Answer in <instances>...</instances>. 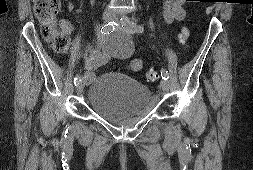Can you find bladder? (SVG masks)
Segmentation results:
<instances>
[{
  "label": "bladder",
  "instance_id": "bladder-1",
  "mask_svg": "<svg viewBox=\"0 0 253 170\" xmlns=\"http://www.w3.org/2000/svg\"><path fill=\"white\" fill-rule=\"evenodd\" d=\"M152 99L151 88L135 77L121 72H105L88 87L89 107L104 120L123 124L143 115Z\"/></svg>",
  "mask_w": 253,
  "mask_h": 170
}]
</instances>
